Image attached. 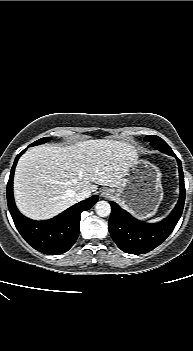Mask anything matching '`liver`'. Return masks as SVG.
Returning a JSON list of instances; mask_svg holds the SVG:
<instances>
[{
    "label": "liver",
    "instance_id": "6515ba94",
    "mask_svg": "<svg viewBox=\"0 0 193 351\" xmlns=\"http://www.w3.org/2000/svg\"><path fill=\"white\" fill-rule=\"evenodd\" d=\"M135 157L128 143L109 139L30 148L15 170L16 205L31 219L52 218L77 203L75 194L80 190L122 185Z\"/></svg>",
    "mask_w": 193,
    "mask_h": 351
}]
</instances>
